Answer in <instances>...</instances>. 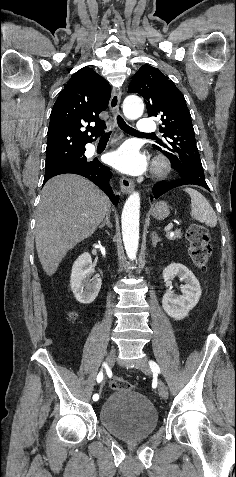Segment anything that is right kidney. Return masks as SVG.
Here are the masks:
<instances>
[{"label":"right kidney","instance_id":"ca27d5eb","mask_svg":"<svg viewBox=\"0 0 236 477\" xmlns=\"http://www.w3.org/2000/svg\"><path fill=\"white\" fill-rule=\"evenodd\" d=\"M94 273L91 256L85 252L74 262L70 279L74 297L82 304L92 303L100 291L102 280Z\"/></svg>","mask_w":236,"mask_h":477}]
</instances>
